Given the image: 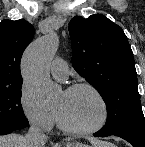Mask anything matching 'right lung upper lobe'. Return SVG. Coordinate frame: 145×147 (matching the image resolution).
Wrapping results in <instances>:
<instances>
[{
	"instance_id": "obj_1",
	"label": "right lung upper lobe",
	"mask_w": 145,
	"mask_h": 147,
	"mask_svg": "<svg viewBox=\"0 0 145 147\" xmlns=\"http://www.w3.org/2000/svg\"><path fill=\"white\" fill-rule=\"evenodd\" d=\"M34 36V27L25 20L0 23V86L23 82L20 59Z\"/></svg>"
}]
</instances>
